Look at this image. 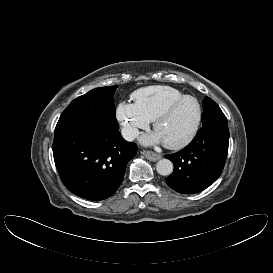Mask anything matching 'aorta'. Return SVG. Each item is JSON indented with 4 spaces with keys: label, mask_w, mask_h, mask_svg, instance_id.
<instances>
[{
    "label": "aorta",
    "mask_w": 273,
    "mask_h": 273,
    "mask_svg": "<svg viewBox=\"0 0 273 273\" xmlns=\"http://www.w3.org/2000/svg\"><path fill=\"white\" fill-rule=\"evenodd\" d=\"M156 171L163 176H168L173 172V163L169 159H161L156 164Z\"/></svg>",
    "instance_id": "obj_1"
}]
</instances>
